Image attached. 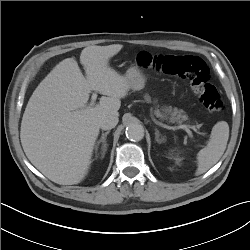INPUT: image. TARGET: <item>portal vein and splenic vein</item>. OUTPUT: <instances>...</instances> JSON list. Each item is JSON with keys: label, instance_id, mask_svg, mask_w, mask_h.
Listing matches in <instances>:
<instances>
[{"label": "portal vein and splenic vein", "instance_id": "18ae733b", "mask_svg": "<svg viewBox=\"0 0 250 250\" xmlns=\"http://www.w3.org/2000/svg\"><path fill=\"white\" fill-rule=\"evenodd\" d=\"M96 99H97V94L93 93L92 97H91V103H90L91 106H93L95 104ZM80 113H82L81 110H77V111L74 112V114H76V115L80 114ZM178 128L184 129L188 133V135L190 137H192V132H191L190 128L193 129L194 131H197V129L195 128V126H188V125H185V124L179 125ZM203 135H205V134H203Z\"/></svg>", "mask_w": 250, "mask_h": 250}]
</instances>
